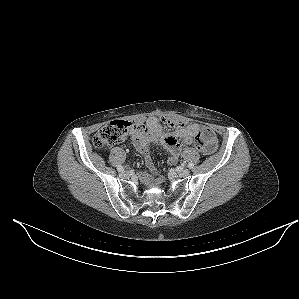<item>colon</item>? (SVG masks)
<instances>
[{"mask_svg": "<svg viewBox=\"0 0 299 299\" xmlns=\"http://www.w3.org/2000/svg\"><path fill=\"white\" fill-rule=\"evenodd\" d=\"M164 123L172 128L180 126V124L172 121H164ZM142 128L143 124L133 123L126 120H114L103 126L95 134L93 144L97 148H107L124 141L132 135L134 130ZM195 146L198 150L204 153L210 152V147L205 142L202 133H199L195 137Z\"/></svg>", "mask_w": 299, "mask_h": 299, "instance_id": "5ec220e1", "label": "colon"}]
</instances>
